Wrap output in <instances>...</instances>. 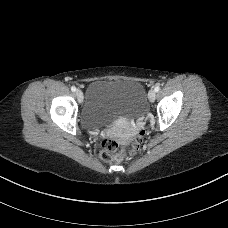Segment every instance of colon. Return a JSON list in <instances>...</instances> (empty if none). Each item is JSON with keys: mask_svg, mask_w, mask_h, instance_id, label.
<instances>
[{"mask_svg": "<svg viewBox=\"0 0 228 228\" xmlns=\"http://www.w3.org/2000/svg\"><path fill=\"white\" fill-rule=\"evenodd\" d=\"M145 131L141 130L138 137L129 148L121 147L120 144L114 139H105L102 143V150L100 157L105 162L121 161L133 158L142 141Z\"/></svg>", "mask_w": 228, "mask_h": 228, "instance_id": "obj_1", "label": "colon"}]
</instances>
